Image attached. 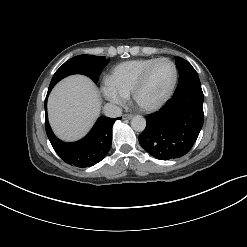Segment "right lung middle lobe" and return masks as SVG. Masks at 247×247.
<instances>
[{
  "label": "right lung middle lobe",
  "mask_w": 247,
  "mask_h": 247,
  "mask_svg": "<svg viewBox=\"0 0 247 247\" xmlns=\"http://www.w3.org/2000/svg\"><path fill=\"white\" fill-rule=\"evenodd\" d=\"M110 60L103 56L79 55L66 61L54 74L50 86L54 85L64 77L72 74H83L97 83L102 69Z\"/></svg>",
  "instance_id": "obj_1"
}]
</instances>
